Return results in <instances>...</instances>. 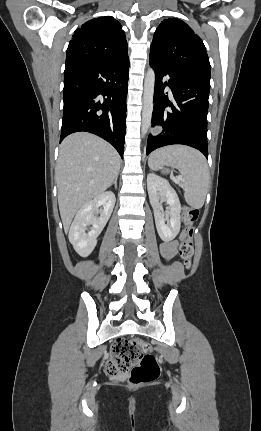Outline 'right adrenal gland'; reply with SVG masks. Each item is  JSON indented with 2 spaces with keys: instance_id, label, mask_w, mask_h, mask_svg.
<instances>
[{
  "instance_id": "obj_1",
  "label": "right adrenal gland",
  "mask_w": 261,
  "mask_h": 431,
  "mask_svg": "<svg viewBox=\"0 0 261 431\" xmlns=\"http://www.w3.org/2000/svg\"><path fill=\"white\" fill-rule=\"evenodd\" d=\"M117 179H118V175L115 177L113 183L110 185L112 186L114 184L115 189H117Z\"/></svg>"
}]
</instances>
